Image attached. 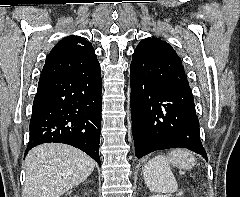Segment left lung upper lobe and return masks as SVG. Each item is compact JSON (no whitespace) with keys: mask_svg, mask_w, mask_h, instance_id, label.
Wrapping results in <instances>:
<instances>
[{"mask_svg":"<svg viewBox=\"0 0 240 197\" xmlns=\"http://www.w3.org/2000/svg\"><path fill=\"white\" fill-rule=\"evenodd\" d=\"M130 67L142 72L157 69L186 78L184 67L177 53L168 43L154 37L143 39L138 44Z\"/></svg>","mask_w":240,"mask_h":197,"instance_id":"obj_1","label":"left lung upper lobe"}]
</instances>
